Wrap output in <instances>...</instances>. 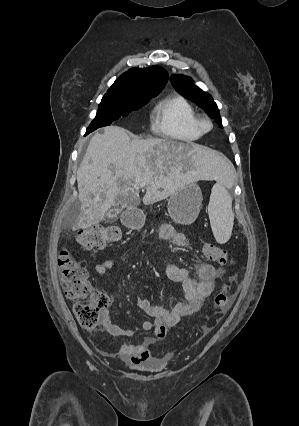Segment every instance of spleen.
Segmentation results:
<instances>
[{
    "mask_svg": "<svg viewBox=\"0 0 299 426\" xmlns=\"http://www.w3.org/2000/svg\"><path fill=\"white\" fill-rule=\"evenodd\" d=\"M208 214L216 241L220 244L226 243L232 234L234 214L232 197L221 180L212 188Z\"/></svg>",
    "mask_w": 299,
    "mask_h": 426,
    "instance_id": "3e777b00",
    "label": "spleen"
}]
</instances>
